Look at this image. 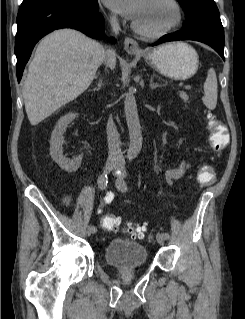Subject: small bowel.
<instances>
[{"label": "small bowel", "mask_w": 245, "mask_h": 319, "mask_svg": "<svg viewBox=\"0 0 245 319\" xmlns=\"http://www.w3.org/2000/svg\"><path fill=\"white\" fill-rule=\"evenodd\" d=\"M189 169V164L186 162H183L180 166H178L177 168H171L168 169L165 173V177L167 182L170 185H173L174 182L179 179L187 170ZM110 202L105 201V204H108ZM101 211V209H99V212Z\"/></svg>", "instance_id": "c3829d8e"}]
</instances>
